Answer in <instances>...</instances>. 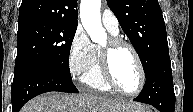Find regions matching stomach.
Segmentation results:
<instances>
[{
    "label": "stomach",
    "instance_id": "stomach-1",
    "mask_svg": "<svg viewBox=\"0 0 193 112\" xmlns=\"http://www.w3.org/2000/svg\"><path fill=\"white\" fill-rule=\"evenodd\" d=\"M126 112H149V111L140 106L135 109H129Z\"/></svg>",
    "mask_w": 193,
    "mask_h": 112
}]
</instances>
